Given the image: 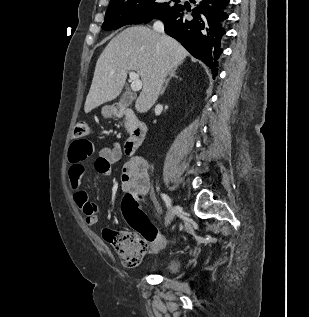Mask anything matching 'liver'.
<instances>
[{
	"instance_id": "6515ba94",
	"label": "liver",
	"mask_w": 309,
	"mask_h": 317,
	"mask_svg": "<svg viewBox=\"0 0 309 317\" xmlns=\"http://www.w3.org/2000/svg\"><path fill=\"white\" fill-rule=\"evenodd\" d=\"M188 56L175 39L145 26H133L116 35L97 60L84 111L116 99L127 79L128 71H136L142 91L135 109L147 112L157 101L168 73L177 69Z\"/></svg>"
}]
</instances>
